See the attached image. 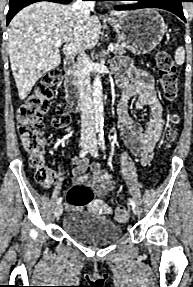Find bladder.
<instances>
[{
	"label": "bladder",
	"instance_id": "bladder-1",
	"mask_svg": "<svg viewBox=\"0 0 193 287\" xmlns=\"http://www.w3.org/2000/svg\"><path fill=\"white\" fill-rule=\"evenodd\" d=\"M62 229L72 238L92 246L111 243L122 235V228L118 224L83 209L67 213Z\"/></svg>",
	"mask_w": 193,
	"mask_h": 287
}]
</instances>
